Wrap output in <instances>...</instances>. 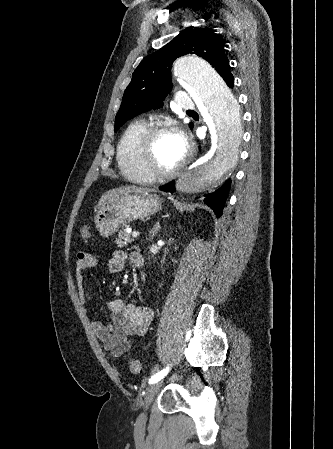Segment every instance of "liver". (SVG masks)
I'll return each instance as SVG.
<instances>
[{
  "label": "liver",
  "instance_id": "liver-1",
  "mask_svg": "<svg viewBox=\"0 0 333 449\" xmlns=\"http://www.w3.org/2000/svg\"><path fill=\"white\" fill-rule=\"evenodd\" d=\"M149 192H150V190L137 188L135 186H121L119 188H114V189L107 191L105 194L102 195V197L100 198V200L98 202V207L103 205L107 200L117 198V197H120L123 195H128L130 193L146 194Z\"/></svg>",
  "mask_w": 333,
  "mask_h": 449
}]
</instances>
